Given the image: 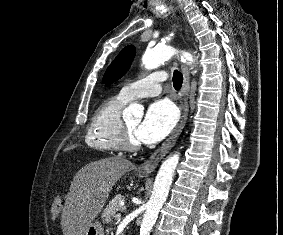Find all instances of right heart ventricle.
Returning a JSON list of instances; mask_svg holds the SVG:
<instances>
[{"label":"right heart ventricle","mask_w":283,"mask_h":235,"mask_svg":"<svg viewBox=\"0 0 283 235\" xmlns=\"http://www.w3.org/2000/svg\"><path fill=\"white\" fill-rule=\"evenodd\" d=\"M128 101L121 94L104 100L90 120L85 142L94 150L114 153L120 151L118 131L122 122L121 111Z\"/></svg>","instance_id":"right-heart-ventricle-1"}]
</instances>
